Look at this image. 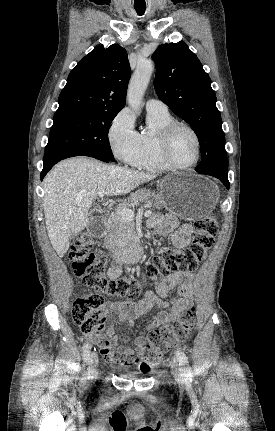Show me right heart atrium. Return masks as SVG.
<instances>
[{
    "label": "right heart atrium",
    "mask_w": 275,
    "mask_h": 431,
    "mask_svg": "<svg viewBox=\"0 0 275 431\" xmlns=\"http://www.w3.org/2000/svg\"><path fill=\"white\" fill-rule=\"evenodd\" d=\"M108 140L114 156L125 164H132L140 151V134L127 109L120 110L108 128Z\"/></svg>",
    "instance_id": "d8ad5b80"
}]
</instances>
